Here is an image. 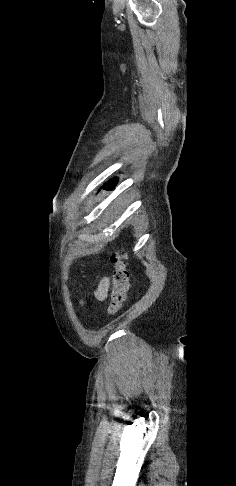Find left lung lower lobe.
I'll list each match as a JSON object with an SVG mask.
<instances>
[{
    "mask_svg": "<svg viewBox=\"0 0 236 486\" xmlns=\"http://www.w3.org/2000/svg\"><path fill=\"white\" fill-rule=\"evenodd\" d=\"M116 182H117V180H116V179H112V180H110L109 182H107V183H106V184L103 186V188H104V189H107V190H109V189H113V188H114V186L116 185Z\"/></svg>",
    "mask_w": 236,
    "mask_h": 486,
    "instance_id": "1",
    "label": "left lung lower lobe"
}]
</instances>
